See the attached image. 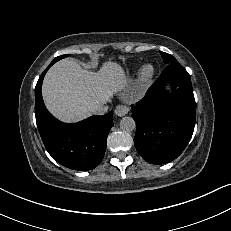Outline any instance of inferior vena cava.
<instances>
[{
	"mask_svg": "<svg viewBox=\"0 0 231 231\" xmlns=\"http://www.w3.org/2000/svg\"><path fill=\"white\" fill-rule=\"evenodd\" d=\"M108 111V106L99 105L92 108V113L96 115H104Z\"/></svg>",
	"mask_w": 231,
	"mask_h": 231,
	"instance_id": "1",
	"label": "inferior vena cava"
}]
</instances>
